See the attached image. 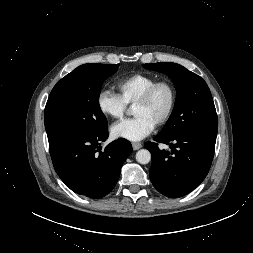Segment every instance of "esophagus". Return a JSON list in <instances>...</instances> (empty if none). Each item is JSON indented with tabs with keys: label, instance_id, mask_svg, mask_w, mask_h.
<instances>
[{
	"label": "esophagus",
	"instance_id": "esophagus-1",
	"mask_svg": "<svg viewBox=\"0 0 253 253\" xmlns=\"http://www.w3.org/2000/svg\"><path fill=\"white\" fill-rule=\"evenodd\" d=\"M142 147V144L141 143H138V142H134L132 143V148L133 150H138Z\"/></svg>",
	"mask_w": 253,
	"mask_h": 253
}]
</instances>
